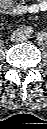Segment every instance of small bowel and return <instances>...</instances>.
Wrapping results in <instances>:
<instances>
[{
    "label": "small bowel",
    "mask_w": 47,
    "mask_h": 129,
    "mask_svg": "<svg viewBox=\"0 0 47 129\" xmlns=\"http://www.w3.org/2000/svg\"><path fill=\"white\" fill-rule=\"evenodd\" d=\"M1 0V11L7 15L20 16L24 14H35L47 10V0Z\"/></svg>",
    "instance_id": "small-bowel-1"
}]
</instances>
